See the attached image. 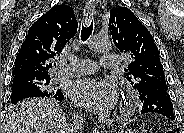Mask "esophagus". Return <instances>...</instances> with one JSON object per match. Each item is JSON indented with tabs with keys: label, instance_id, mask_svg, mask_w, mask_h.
Listing matches in <instances>:
<instances>
[{
	"label": "esophagus",
	"instance_id": "esophagus-1",
	"mask_svg": "<svg viewBox=\"0 0 184 133\" xmlns=\"http://www.w3.org/2000/svg\"><path fill=\"white\" fill-rule=\"evenodd\" d=\"M96 11H95V6L93 3L91 2H87L85 7H84V20L86 23H89L92 18L94 17ZM95 131H99L98 129H95Z\"/></svg>",
	"mask_w": 184,
	"mask_h": 133
}]
</instances>
